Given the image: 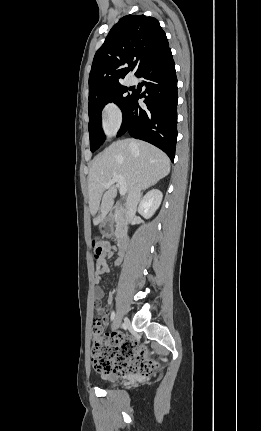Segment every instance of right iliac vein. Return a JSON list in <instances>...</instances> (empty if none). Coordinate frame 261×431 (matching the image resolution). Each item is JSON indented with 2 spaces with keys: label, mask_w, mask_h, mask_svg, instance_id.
Segmentation results:
<instances>
[{
  "label": "right iliac vein",
  "mask_w": 261,
  "mask_h": 431,
  "mask_svg": "<svg viewBox=\"0 0 261 431\" xmlns=\"http://www.w3.org/2000/svg\"><path fill=\"white\" fill-rule=\"evenodd\" d=\"M120 324H121V316H120V314H117V316L113 322V325H112L113 330L118 329Z\"/></svg>",
  "instance_id": "1"
}]
</instances>
